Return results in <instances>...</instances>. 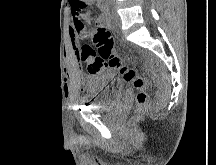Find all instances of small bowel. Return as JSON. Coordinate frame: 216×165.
<instances>
[{
	"mask_svg": "<svg viewBox=\"0 0 216 165\" xmlns=\"http://www.w3.org/2000/svg\"><path fill=\"white\" fill-rule=\"evenodd\" d=\"M86 6L98 5L101 9V16L98 18L96 24L107 27L110 25L108 9L105 5V0H85ZM91 20V15L84 5H77L74 9L72 7V21L69 26V42L72 50L75 52L78 61L82 60L80 56L79 40L88 39L89 33L85 29V22ZM83 61V60H82ZM88 71V70H87ZM90 75H96L88 71Z\"/></svg>",
	"mask_w": 216,
	"mask_h": 165,
	"instance_id": "c3829d8e",
	"label": "small bowel"
}]
</instances>
